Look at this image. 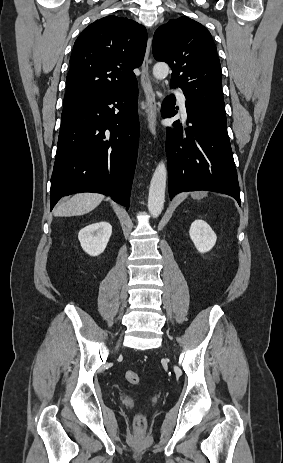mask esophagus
I'll list each match as a JSON object with an SVG mask.
<instances>
[{
	"label": "esophagus",
	"instance_id": "34e87169",
	"mask_svg": "<svg viewBox=\"0 0 283 463\" xmlns=\"http://www.w3.org/2000/svg\"><path fill=\"white\" fill-rule=\"evenodd\" d=\"M152 39L148 38L147 48L144 57V61L141 66V76L140 83L145 95L146 101V115H147V124L149 131L155 135L156 134V123H157V103L155 100V93L151 85L150 73H149V55L151 49Z\"/></svg>",
	"mask_w": 283,
	"mask_h": 463
}]
</instances>
